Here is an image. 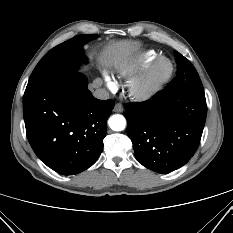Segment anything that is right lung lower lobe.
<instances>
[{"mask_svg": "<svg viewBox=\"0 0 233 233\" xmlns=\"http://www.w3.org/2000/svg\"><path fill=\"white\" fill-rule=\"evenodd\" d=\"M112 100H98L85 77L72 72L24 93L28 141L38 158L63 175L89 168L103 149Z\"/></svg>", "mask_w": 233, "mask_h": 233, "instance_id": "right-lung-lower-lobe-1", "label": "right lung lower lobe"}]
</instances>
